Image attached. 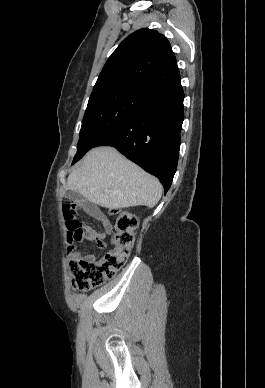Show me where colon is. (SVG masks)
<instances>
[{
    "mask_svg": "<svg viewBox=\"0 0 265 388\" xmlns=\"http://www.w3.org/2000/svg\"><path fill=\"white\" fill-rule=\"evenodd\" d=\"M77 204L66 201L63 204V215L67 226L68 251L72 252V244L87 239L88 230L76 216ZM115 215L113 247L99 261H87L82 258H72L69 262L73 287L88 291L104 285L112 279L126 262L135 242V217L123 210H113Z\"/></svg>",
    "mask_w": 265,
    "mask_h": 388,
    "instance_id": "5ec220e1",
    "label": "colon"
}]
</instances>
